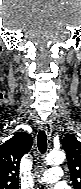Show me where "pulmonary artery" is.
Wrapping results in <instances>:
<instances>
[{
    "mask_svg": "<svg viewBox=\"0 0 81 189\" xmlns=\"http://www.w3.org/2000/svg\"><path fill=\"white\" fill-rule=\"evenodd\" d=\"M62 169L59 167H53L45 171L41 176L38 177V182L43 184H49L57 182L62 177Z\"/></svg>",
    "mask_w": 81,
    "mask_h": 189,
    "instance_id": "1",
    "label": "pulmonary artery"
}]
</instances>
